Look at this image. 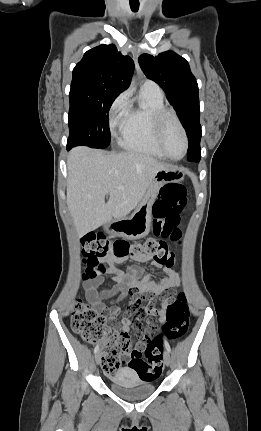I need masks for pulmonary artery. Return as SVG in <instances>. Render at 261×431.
I'll return each instance as SVG.
<instances>
[{"instance_id":"e3ab8cb5","label":"pulmonary artery","mask_w":261,"mask_h":431,"mask_svg":"<svg viewBox=\"0 0 261 431\" xmlns=\"http://www.w3.org/2000/svg\"><path fill=\"white\" fill-rule=\"evenodd\" d=\"M142 89L147 90V91L152 92V93L157 94V95H162V91H161L159 85L156 82L149 80V79L144 81V83L142 84Z\"/></svg>"}]
</instances>
